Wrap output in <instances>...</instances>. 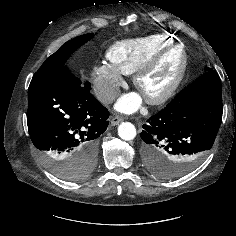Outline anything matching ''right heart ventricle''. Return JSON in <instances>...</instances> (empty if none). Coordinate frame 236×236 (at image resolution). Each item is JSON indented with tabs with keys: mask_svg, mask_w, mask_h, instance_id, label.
I'll list each match as a JSON object with an SVG mask.
<instances>
[{
	"mask_svg": "<svg viewBox=\"0 0 236 236\" xmlns=\"http://www.w3.org/2000/svg\"><path fill=\"white\" fill-rule=\"evenodd\" d=\"M173 42L167 34H152L117 42L107 50L106 56L119 73L131 75L154 53Z\"/></svg>",
	"mask_w": 236,
	"mask_h": 236,
	"instance_id": "e07e8e85",
	"label": "right heart ventricle"
}]
</instances>
